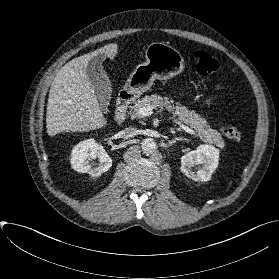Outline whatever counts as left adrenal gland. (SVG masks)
<instances>
[{"label": "left adrenal gland", "mask_w": 279, "mask_h": 279, "mask_svg": "<svg viewBox=\"0 0 279 279\" xmlns=\"http://www.w3.org/2000/svg\"><path fill=\"white\" fill-rule=\"evenodd\" d=\"M177 141H188V139L183 137H175L173 140H169V145L175 144Z\"/></svg>", "instance_id": "obj_1"}]
</instances>
